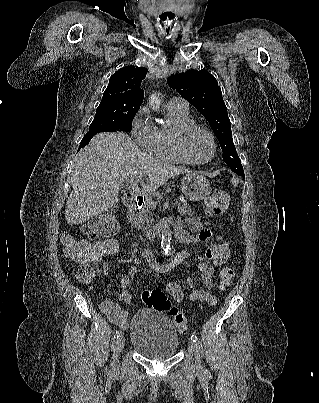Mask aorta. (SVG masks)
I'll use <instances>...</instances> for the list:
<instances>
[{
	"label": "aorta",
	"instance_id": "aorta-1",
	"mask_svg": "<svg viewBox=\"0 0 319 403\" xmlns=\"http://www.w3.org/2000/svg\"><path fill=\"white\" fill-rule=\"evenodd\" d=\"M161 96L159 93H154L149 100V106L152 110L157 111L161 107ZM171 231L164 230L161 234V249L165 255L170 254L171 249Z\"/></svg>",
	"mask_w": 319,
	"mask_h": 403
}]
</instances>
